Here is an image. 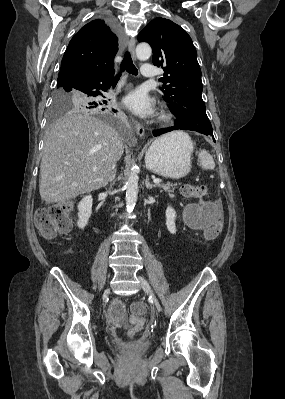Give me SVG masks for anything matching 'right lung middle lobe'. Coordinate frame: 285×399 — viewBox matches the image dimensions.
Returning a JSON list of instances; mask_svg holds the SVG:
<instances>
[{"label": "right lung middle lobe", "mask_w": 285, "mask_h": 399, "mask_svg": "<svg viewBox=\"0 0 285 399\" xmlns=\"http://www.w3.org/2000/svg\"><path fill=\"white\" fill-rule=\"evenodd\" d=\"M94 98L70 86H57L50 122L57 116L71 110H78L80 112L91 111L104 114L110 113L109 108L104 107L102 104H98V102L94 101Z\"/></svg>", "instance_id": "obj_1"}]
</instances>
